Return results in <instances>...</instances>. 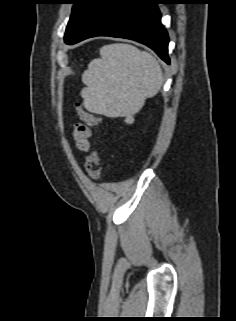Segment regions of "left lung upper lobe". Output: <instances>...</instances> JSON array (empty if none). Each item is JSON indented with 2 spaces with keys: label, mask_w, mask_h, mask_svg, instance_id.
<instances>
[{
  "label": "left lung upper lobe",
  "mask_w": 236,
  "mask_h": 321,
  "mask_svg": "<svg viewBox=\"0 0 236 321\" xmlns=\"http://www.w3.org/2000/svg\"><path fill=\"white\" fill-rule=\"evenodd\" d=\"M94 1L95 0H71L74 6L65 32V42L75 36Z\"/></svg>",
  "instance_id": "obj_1"
}]
</instances>
